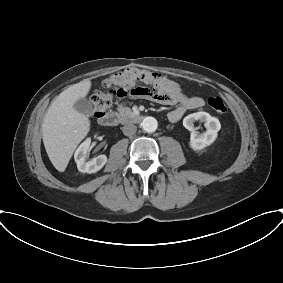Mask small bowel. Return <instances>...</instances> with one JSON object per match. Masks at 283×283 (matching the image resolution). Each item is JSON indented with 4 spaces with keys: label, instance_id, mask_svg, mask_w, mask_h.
<instances>
[{
    "label": "small bowel",
    "instance_id": "small-bowel-1",
    "mask_svg": "<svg viewBox=\"0 0 283 283\" xmlns=\"http://www.w3.org/2000/svg\"><path fill=\"white\" fill-rule=\"evenodd\" d=\"M171 82L173 90L168 94V97L165 101H159L151 97H147V99L168 105L177 104L178 106L168 114V118L171 122H177L188 110L200 108L203 106L204 102L200 97L185 95L176 82L172 80ZM130 96L135 97L132 95Z\"/></svg>",
    "mask_w": 283,
    "mask_h": 283
}]
</instances>
